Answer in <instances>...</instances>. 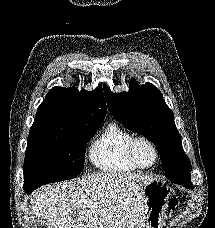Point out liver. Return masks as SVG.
<instances>
[{"label":"liver","instance_id":"obj_1","mask_svg":"<svg viewBox=\"0 0 215 228\" xmlns=\"http://www.w3.org/2000/svg\"><path fill=\"white\" fill-rule=\"evenodd\" d=\"M142 174L100 172L48 184L30 196L32 212L53 228H145Z\"/></svg>","mask_w":215,"mask_h":228}]
</instances>
